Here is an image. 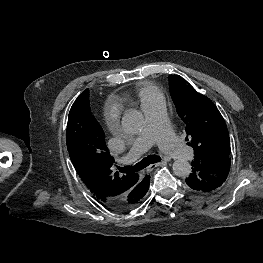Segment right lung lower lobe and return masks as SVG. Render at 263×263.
Segmentation results:
<instances>
[{"mask_svg": "<svg viewBox=\"0 0 263 263\" xmlns=\"http://www.w3.org/2000/svg\"><path fill=\"white\" fill-rule=\"evenodd\" d=\"M143 183L146 188H149L150 176H146L143 180ZM107 207L114 211H122V208H123L120 202H111L107 205Z\"/></svg>", "mask_w": 263, "mask_h": 263, "instance_id": "98d812e1", "label": "right lung lower lobe"}]
</instances>
